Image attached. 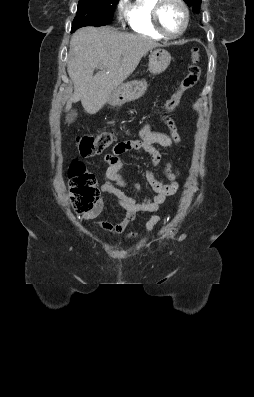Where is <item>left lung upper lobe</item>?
<instances>
[{
    "label": "left lung upper lobe",
    "mask_w": 254,
    "mask_h": 397,
    "mask_svg": "<svg viewBox=\"0 0 254 397\" xmlns=\"http://www.w3.org/2000/svg\"><path fill=\"white\" fill-rule=\"evenodd\" d=\"M189 7H193V11L198 13L199 12V4L201 0H184Z\"/></svg>",
    "instance_id": "obj_1"
}]
</instances>
